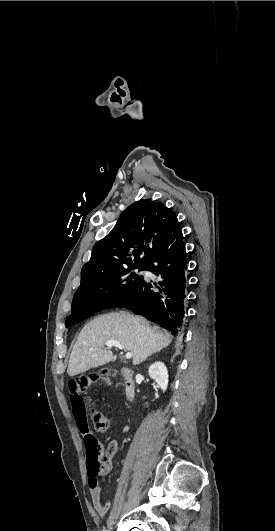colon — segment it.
<instances>
[{
	"label": "colon",
	"instance_id": "5ec220e1",
	"mask_svg": "<svg viewBox=\"0 0 275 531\" xmlns=\"http://www.w3.org/2000/svg\"><path fill=\"white\" fill-rule=\"evenodd\" d=\"M92 380L93 381H102V382H105V383H110L112 381V379L110 378V372L109 370H106V369H103L101 370L99 373L97 374H93L92 376L90 375H83L81 376V389H84V384H89V389H84V392L85 393H90L92 392ZM86 413H89L92 409V400H93V397L89 396V395H86ZM93 424H94V428L101 434H105L109 427H110V421H109V418L106 414L102 413V412H99V411H96L94 412L93 414ZM115 448H116V445L115 444H108L105 448H104V451L109 453V454H112L114 451H115ZM108 467H109V463L107 461H103L99 466H98V470H101V469H105L106 471L108 470Z\"/></svg>",
	"mask_w": 275,
	"mask_h": 531
}]
</instances>
